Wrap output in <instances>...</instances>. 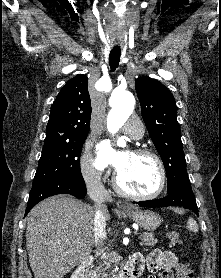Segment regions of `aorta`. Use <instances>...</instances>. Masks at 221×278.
<instances>
[{
  "label": "aorta",
  "mask_w": 221,
  "mask_h": 278,
  "mask_svg": "<svg viewBox=\"0 0 221 278\" xmlns=\"http://www.w3.org/2000/svg\"><path fill=\"white\" fill-rule=\"evenodd\" d=\"M112 109L107 116V128L112 134L116 133L132 114L135 99L131 92L122 91L111 97Z\"/></svg>",
  "instance_id": "obj_1"
}]
</instances>
